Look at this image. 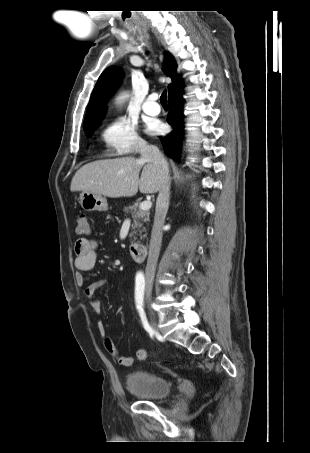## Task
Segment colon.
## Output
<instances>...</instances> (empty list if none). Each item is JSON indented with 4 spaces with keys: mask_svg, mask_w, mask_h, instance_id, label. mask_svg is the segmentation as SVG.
Instances as JSON below:
<instances>
[{
    "mask_svg": "<svg viewBox=\"0 0 310 453\" xmlns=\"http://www.w3.org/2000/svg\"><path fill=\"white\" fill-rule=\"evenodd\" d=\"M90 232V222L86 214H80L76 222V233L79 235H86Z\"/></svg>",
    "mask_w": 310,
    "mask_h": 453,
    "instance_id": "colon-1",
    "label": "colon"
}]
</instances>
